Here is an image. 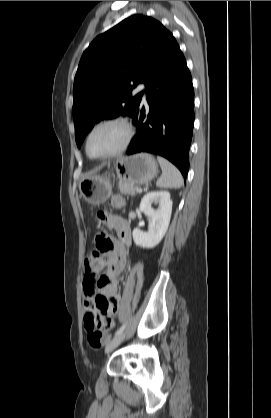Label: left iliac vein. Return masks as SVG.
Returning a JSON list of instances; mask_svg holds the SVG:
<instances>
[{"instance_id": "left-iliac-vein-1", "label": "left iliac vein", "mask_w": 271, "mask_h": 418, "mask_svg": "<svg viewBox=\"0 0 271 418\" xmlns=\"http://www.w3.org/2000/svg\"><path fill=\"white\" fill-rule=\"evenodd\" d=\"M125 337V334H120L118 336H116L115 338H113L107 345L105 348L106 353H110L111 351H113L116 347H118V345L123 341Z\"/></svg>"}]
</instances>
